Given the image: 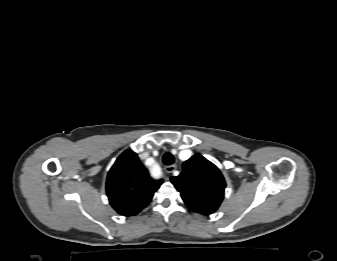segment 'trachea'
<instances>
[{"label": "trachea", "mask_w": 337, "mask_h": 261, "mask_svg": "<svg viewBox=\"0 0 337 261\" xmlns=\"http://www.w3.org/2000/svg\"><path fill=\"white\" fill-rule=\"evenodd\" d=\"M163 163L165 165H171L174 163V156L171 153H165L163 156Z\"/></svg>", "instance_id": "obj_1"}]
</instances>
